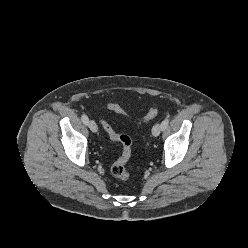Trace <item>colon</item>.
<instances>
[{
  "label": "colon",
  "instance_id": "1",
  "mask_svg": "<svg viewBox=\"0 0 248 248\" xmlns=\"http://www.w3.org/2000/svg\"><path fill=\"white\" fill-rule=\"evenodd\" d=\"M106 107L111 112L127 116L125 109L117 103H107ZM158 113V108H150L146 115L138 122L147 123L148 121L156 117ZM101 125L105 132L109 135V137L112 140L118 141L122 146V153L120 157L112 164L111 173L114 177L125 181L129 178V172L126 169V164L130 160L132 155V138L128 134H120L115 132L113 127L105 120H101Z\"/></svg>",
  "mask_w": 248,
  "mask_h": 248
}]
</instances>
